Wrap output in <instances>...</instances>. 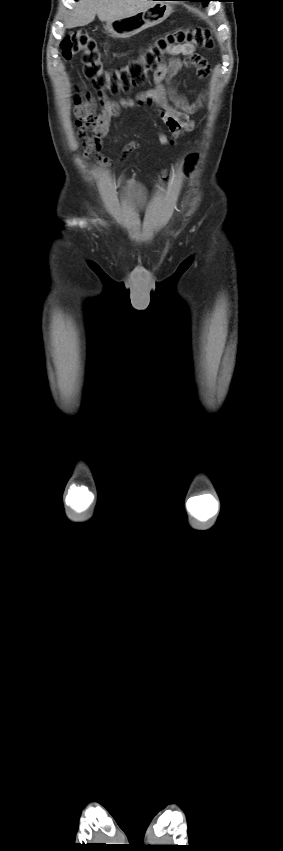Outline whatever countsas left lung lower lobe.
<instances>
[{"label": "left lung lower lobe", "mask_w": 283, "mask_h": 851, "mask_svg": "<svg viewBox=\"0 0 283 851\" xmlns=\"http://www.w3.org/2000/svg\"><path fill=\"white\" fill-rule=\"evenodd\" d=\"M178 1H185V0H178ZM190 1H191V0H190Z\"/></svg>", "instance_id": "obj_1"}]
</instances>
